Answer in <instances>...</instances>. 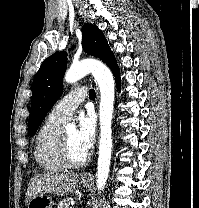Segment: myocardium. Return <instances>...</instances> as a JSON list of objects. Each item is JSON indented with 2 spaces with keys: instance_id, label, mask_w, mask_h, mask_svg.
Returning <instances> with one entry per match:
<instances>
[{
  "instance_id": "1",
  "label": "myocardium",
  "mask_w": 199,
  "mask_h": 208,
  "mask_svg": "<svg viewBox=\"0 0 199 208\" xmlns=\"http://www.w3.org/2000/svg\"><path fill=\"white\" fill-rule=\"evenodd\" d=\"M59 153H60V158L63 162V164L67 167V168H78L81 167L83 165H85L89 158L90 155L87 153L85 157H83L80 160H75L70 153L69 150V145H68V141L66 139L65 134H62L61 139H60V143H59Z\"/></svg>"
}]
</instances>
